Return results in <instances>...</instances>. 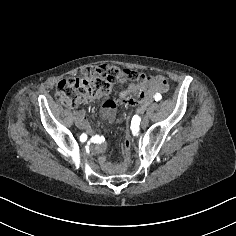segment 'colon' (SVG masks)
<instances>
[{
  "label": "colon",
  "instance_id": "5ec220e1",
  "mask_svg": "<svg viewBox=\"0 0 236 236\" xmlns=\"http://www.w3.org/2000/svg\"><path fill=\"white\" fill-rule=\"evenodd\" d=\"M120 77H125L136 82L166 84L165 79L152 74L145 75L136 71L119 69L114 66L102 64L84 67L79 77H69L61 80L56 86L55 97L66 107L75 108L88 98L108 94L114 82ZM123 152L126 161H129L131 138L128 132L123 141Z\"/></svg>",
  "mask_w": 236,
  "mask_h": 236
}]
</instances>
